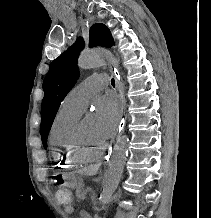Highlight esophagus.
Instances as JSON below:
<instances>
[{
	"instance_id": "esophagus-1",
	"label": "esophagus",
	"mask_w": 211,
	"mask_h": 218,
	"mask_svg": "<svg viewBox=\"0 0 211 218\" xmlns=\"http://www.w3.org/2000/svg\"><path fill=\"white\" fill-rule=\"evenodd\" d=\"M112 72L115 75V83L117 90L119 92V97H120V102H121V109H119V114L121 117H128V112H126V105H125V96H124V91H123V80L122 78V72H115L114 69H112ZM126 123H127V118H120V123L118 124V129L119 131H124L126 128ZM114 136L112 137V144H117L119 140V132H114ZM113 146H110V148H106L104 152V159H102V164H104V167H107V164L110 163V160L113 159Z\"/></svg>"
}]
</instances>
